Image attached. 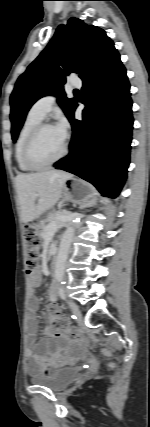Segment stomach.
<instances>
[{
  "instance_id": "stomach-1",
  "label": "stomach",
  "mask_w": 150,
  "mask_h": 427,
  "mask_svg": "<svg viewBox=\"0 0 150 427\" xmlns=\"http://www.w3.org/2000/svg\"><path fill=\"white\" fill-rule=\"evenodd\" d=\"M63 197L65 200L79 204L93 203L95 192L91 186L77 178H70L64 182Z\"/></svg>"
}]
</instances>
